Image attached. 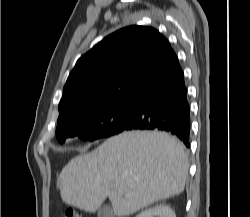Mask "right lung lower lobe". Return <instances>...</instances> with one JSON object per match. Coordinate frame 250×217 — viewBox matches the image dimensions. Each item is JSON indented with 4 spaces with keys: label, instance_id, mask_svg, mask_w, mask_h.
I'll return each instance as SVG.
<instances>
[{
    "label": "right lung lower lobe",
    "instance_id": "right-lung-lower-lobe-1",
    "mask_svg": "<svg viewBox=\"0 0 250 217\" xmlns=\"http://www.w3.org/2000/svg\"><path fill=\"white\" fill-rule=\"evenodd\" d=\"M134 100V115L124 130L167 131L177 136L187 147L190 146V107L180 65Z\"/></svg>",
    "mask_w": 250,
    "mask_h": 217
}]
</instances>
